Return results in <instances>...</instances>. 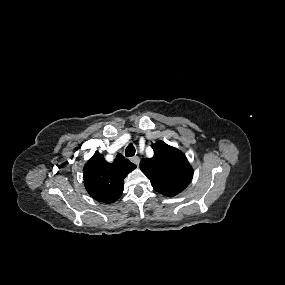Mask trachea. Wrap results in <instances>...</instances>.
I'll list each match as a JSON object with an SVG mask.
<instances>
[{"instance_id": "trachea-1", "label": "trachea", "mask_w": 285, "mask_h": 285, "mask_svg": "<svg viewBox=\"0 0 285 285\" xmlns=\"http://www.w3.org/2000/svg\"><path fill=\"white\" fill-rule=\"evenodd\" d=\"M135 147L133 146V144H129L125 150V156L126 157H132L135 155Z\"/></svg>"}]
</instances>
